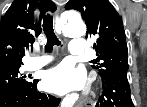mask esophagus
<instances>
[{"instance_id":"1","label":"esophagus","mask_w":147,"mask_h":107,"mask_svg":"<svg viewBox=\"0 0 147 107\" xmlns=\"http://www.w3.org/2000/svg\"><path fill=\"white\" fill-rule=\"evenodd\" d=\"M59 15H60V8L58 7L55 14H54L55 19H58ZM88 102H89V105H91V106L93 105L92 101H88Z\"/></svg>"}]
</instances>
